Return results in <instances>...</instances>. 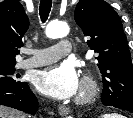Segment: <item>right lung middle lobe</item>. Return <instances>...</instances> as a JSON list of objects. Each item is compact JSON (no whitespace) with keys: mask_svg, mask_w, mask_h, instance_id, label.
I'll list each match as a JSON object with an SVG mask.
<instances>
[{"mask_svg":"<svg viewBox=\"0 0 133 118\" xmlns=\"http://www.w3.org/2000/svg\"><path fill=\"white\" fill-rule=\"evenodd\" d=\"M15 62H1L0 63V88L10 87L20 84V81L16 80L15 72Z\"/></svg>","mask_w":133,"mask_h":118,"instance_id":"right-lung-middle-lobe-1","label":"right lung middle lobe"}]
</instances>
